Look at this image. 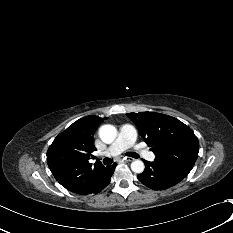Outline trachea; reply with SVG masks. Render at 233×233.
Wrapping results in <instances>:
<instances>
[{"label": "trachea", "mask_w": 233, "mask_h": 233, "mask_svg": "<svg viewBox=\"0 0 233 233\" xmlns=\"http://www.w3.org/2000/svg\"><path fill=\"white\" fill-rule=\"evenodd\" d=\"M126 156L133 157V158H139V155L135 152H127ZM112 159L111 158H104L103 163L105 165H110L112 164Z\"/></svg>", "instance_id": "3493384b"}]
</instances>
